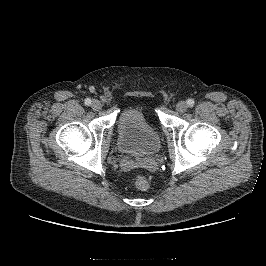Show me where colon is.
Listing matches in <instances>:
<instances>
[{
  "mask_svg": "<svg viewBox=\"0 0 266 266\" xmlns=\"http://www.w3.org/2000/svg\"><path fill=\"white\" fill-rule=\"evenodd\" d=\"M134 183L139 190H146L150 186V180L147 176L138 174L135 176Z\"/></svg>",
  "mask_w": 266,
  "mask_h": 266,
  "instance_id": "1",
  "label": "colon"
}]
</instances>
